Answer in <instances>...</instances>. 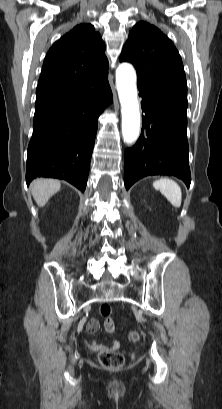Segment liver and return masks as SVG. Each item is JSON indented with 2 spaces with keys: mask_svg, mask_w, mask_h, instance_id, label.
<instances>
[{
  "mask_svg": "<svg viewBox=\"0 0 222 409\" xmlns=\"http://www.w3.org/2000/svg\"><path fill=\"white\" fill-rule=\"evenodd\" d=\"M60 187V181L54 179L40 178L31 183L33 198L40 207H43L60 190Z\"/></svg>",
  "mask_w": 222,
  "mask_h": 409,
  "instance_id": "liver-1",
  "label": "liver"
}]
</instances>
